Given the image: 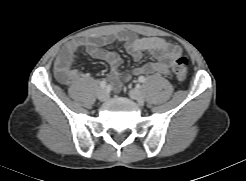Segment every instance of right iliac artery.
<instances>
[{"label": "right iliac artery", "instance_id": "82829eb1", "mask_svg": "<svg viewBox=\"0 0 246 181\" xmlns=\"http://www.w3.org/2000/svg\"><path fill=\"white\" fill-rule=\"evenodd\" d=\"M107 86V82H106V80H102V81H100V87L101 88H105Z\"/></svg>", "mask_w": 246, "mask_h": 181}]
</instances>
